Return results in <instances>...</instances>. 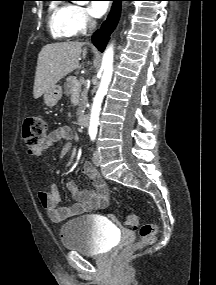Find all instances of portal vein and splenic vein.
<instances>
[{
	"label": "portal vein and splenic vein",
	"instance_id": "portal-vein-and-splenic-vein-1",
	"mask_svg": "<svg viewBox=\"0 0 216 285\" xmlns=\"http://www.w3.org/2000/svg\"><path fill=\"white\" fill-rule=\"evenodd\" d=\"M81 86V82L79 81H74V87H73V91H78L79 88Z\"/></svg>",
	"mask_w": 216,
	"mask_h": 285
}]
</instances>
